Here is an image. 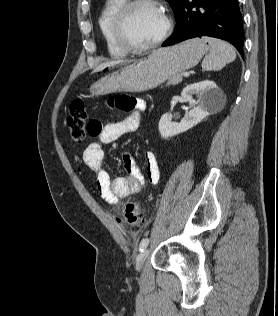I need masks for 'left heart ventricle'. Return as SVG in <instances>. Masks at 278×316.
<instances>
[{"instance_id": "obj_1", "label": "left heart ventricle", "mask_w": 278, "mask_h": 316, "mask_svg": "<svg viewBox=\"0 0 278 316\" xmlns=\"http://www.w3.org/2000/svg\"><path fill=\"white\" fill-rule=\"evenodd\" d=\"M164 29L161 13L152 5L142 4L134 8L126 21V33L135 45L154 41Z\"/></svg>"}]
</instances>
